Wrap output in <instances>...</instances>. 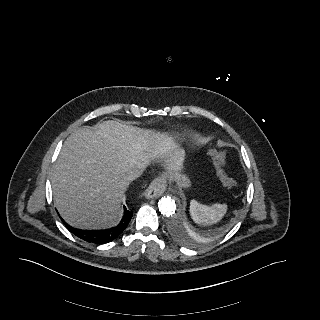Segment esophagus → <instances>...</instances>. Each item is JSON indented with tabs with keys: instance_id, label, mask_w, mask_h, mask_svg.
Segmentation results:
<instances>
[{
	"instance_id": "34e87169",
	"label": "esophagus",
	"mask_w": 320,
	"mask_h": 320,
	"mask_svg": "<svg viewBox=\"0 0 320 320\" xmlns=\"http://www.w3.org/2000/svg\"><path fill=\"white\" fill-rule=\"evenodd\" d=\"M166 190V181L162 177L153 180L144 192L146 198L159 197Z\"/></svg>"
}]
</instances>
